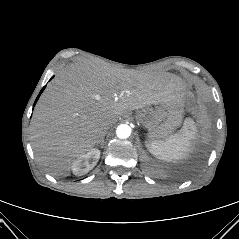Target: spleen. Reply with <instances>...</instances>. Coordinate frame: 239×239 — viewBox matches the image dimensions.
<instances>
[{"mask_svg": "<svg viewBox=\"0 0 239 239\" xmlns=\"http://www.w3.org/2000/svg\"><path fill=\"white\" fill-rule=\"evenodd\" d=\"M196 134V125L191 118L184 121L180 131L164 140L148 141L149 152L164 161H176L184 158L191 148V140Z\"/></svg>", "mask_w": 239, "mask_h": 239, "instance_id": "obj_1", "label": "spleen"}]
</instances>
